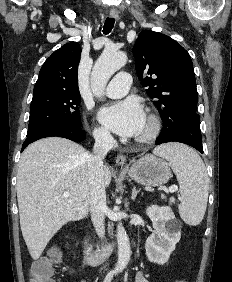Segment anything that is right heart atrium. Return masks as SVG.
<instances>
[{
    "label": "right heart atrium",
    "mask_w": 232,
    "mask_h": 282,
    "mask_svg": "<svg viewBox=\"0 0 232 282\" xmlns=\"http://www.w3.org/2000/svg\"><path fill=\"white\" fill-rule=\"evenodd\" d=\"M93 135L99 143L104 145H108L112 141L110 133L103 127H95Z\"/></svg>",
    "instance_id": "obj_1"
}]
</instances>
